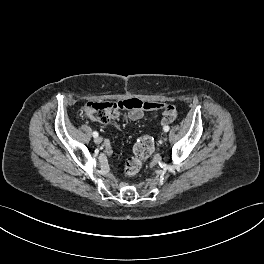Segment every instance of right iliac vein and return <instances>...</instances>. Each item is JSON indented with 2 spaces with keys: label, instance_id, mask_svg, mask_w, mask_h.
Returning a JSON list of instances; mask_svg holds the SVG:
<instances>
[{
  "label": "right iliac vein",
  "instance_id": "obj_1",
  "mask_svg": "<svg viewBox=\"0 0 264 264\" xmlns=\"http://www.w3.org/2000/svg\"><path fill=\"white\" fill-rule=\"evenodd\" d=\"M94 142H95L96 144H100V143L102 142V138H101V137H96V138L94 139Z\"/></svg>",
  "mask_w": 264,
  "mask_h": 264
}]
</instances>
